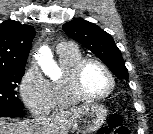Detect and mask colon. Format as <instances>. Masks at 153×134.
I'll return each mask as SVG.
<instances>
[{
    "instance_id": "colon-1",
    "label": "colon",
    "mask_w": 153,
    "mask_h": 134,
    "mask_svg": "<svg viewBox=\"0 0 153 134\" xmlns=\"http://www.w3.org/2000/svg\"><path fill=\"white\" fill-rule=\"evenodd\" d=\"M100 134H130L129 128L123 123L120 113H114L108 120L105 127L100 130Z\"/></svg>"
}]
</instances>
